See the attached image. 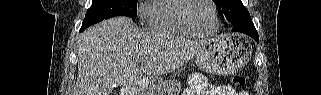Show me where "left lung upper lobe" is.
I'll return each mask as SVG.
<instances>
[{
  "label": "left lung upper lobe",
  "instance_id": "obj_1",
  "mask_svg": "<svg viewBox=\"0 0 321 95\" xmlns=\"http://www.w3.org/2000/svg\"><path fill=\"white\" fill-rule=\"evenodd\" d=\"M220 14L230 23L231 26L247 21L250 18L249 12L241 0H213Z\"/></svg>",
  "mask_w": 321,
  "mask_h": 95
}]
</instances>
